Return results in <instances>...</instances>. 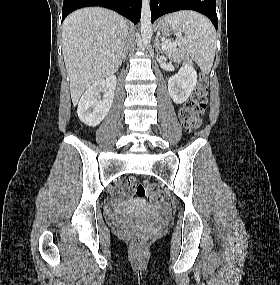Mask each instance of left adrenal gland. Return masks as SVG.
<instances>
[{
  "label": "left adrenal gland",
  "instance_id": "1",
  "mask_svg": "<svg viewBox=\"0 0 280 285\" xmlns=\"http://www.w3.org/2000/svg\"><path fill=\"white\" fill-rule=\"evenodd\" d=\"M155 47H156V51L158 52V50L160 51V52H163V49H162V45H161V43H160V40H159V36H156L155 37Z\"/></svg>",
  "mask_w": 280,
  "mask_h": 285
}]
</instances>
